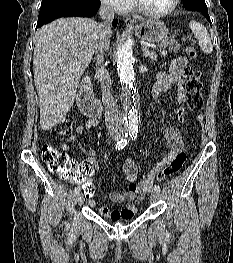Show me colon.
I'll list each match as a JSON object with an SVG mask.
<instances>
[{"instance_id":"obj_1","label":"colon","mask_w":233,"mask_h":263,"mask_svg":"<svg viewBox=\"0 0 233 263\" xmlns=\"http://www.w3.org/2000/svg\"><path fill=\"white\" fill-rule=\"evenodd\" d=\"M185 52L191 58L197 57V51L191 46H186ZM186 74L188 78L186 85L188 110L190 112H196L201 110L203 106L200 82L201 73L196 68H189ZM72 129L73 118L71 116L63 117L55 125V132L58 135H69L72 132ZM42 159L51 172L60 175V180H71L72 183H84L77 184L79 195H93L94 186L89 180H92V176L95 175L94 171H75V162L69 159L66 154L59 152L58 149L50 143L43 144ZM185 160V153L181 152L177 154L166 166L155 170L150 177L151 180L155 181L156 179L176 173L183 166Z\"/></svg>"}]
</instances>
